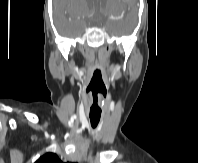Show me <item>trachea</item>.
Masks as SVG:
<instances>
[{
    "mask_svg": "<svg viewBox=\"0 0 198 163\" xmlns=\"http://www.w3.org/2000/svg\"><path fill=\"white\" fill-rule=\"evenodd\" d=\"M95 105L97 106V100H96V104ZM93 106H94V103H93ZM90 121H91V126L93 128H95L98 125L99 121H100V117L90 116Z\"/></svg>",
    "mask_w": 198,
    "mask_h": 163,
    "instance_id": "3493384b",
    "label": "trachea"
}]
</instances>
